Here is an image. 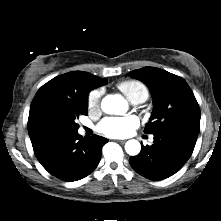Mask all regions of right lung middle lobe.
<instances>
[{
  "instance_id": "obj_1",
  "label": "right lung middle lobe",
  "mask_w": 221,
  "mask_h": 221,
  "mask_svg": "<svg viewBox=\"0 0 221 221\" xmlns=\"http://www.w3.org/2000/svg\"><path fill=\"white\" fill-rule=\"evenodd\" d=\"M87 107L86 101L59 100L49 97L45 114L66 133H75L79 128L76 119L80 115H87Z\"/></svg>"
}]
</instances>
